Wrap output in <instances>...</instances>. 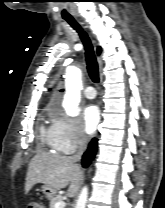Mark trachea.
I'll return each mask as SVG.
<instances>
[{
	"label": "trachea",
	"mask_w": 165,
	"mask_h": 208,
	"mask_svg": "<svg viewBox=\"0 0 165 208\" xmlns=\"http://www.w3.org/2000/svg\"><path fill=\"white\" fill-rule=\"evenodd\" d=\"M66 21L79 33V36L83 42L85 48V56L87 62V70L91 80L94 83L99 82V69L96 61V57L94 54L93 46L90 42L87 34L80 28V26L73 19H66Z\"/></svg>",
	"instance_id": "obj_1"
}]
</instances>
